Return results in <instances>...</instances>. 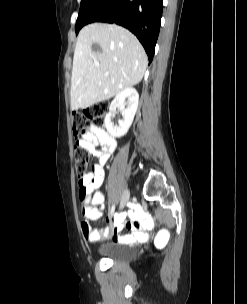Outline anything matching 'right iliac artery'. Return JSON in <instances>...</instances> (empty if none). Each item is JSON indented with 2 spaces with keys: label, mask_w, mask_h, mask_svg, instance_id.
Segmentation results:
<instances>
[{
  "label": "right iliac artery",
  "mask_w": 247,
  "mask_h": 304,
  "mask_svg": "<svg viewBox=\"0 0 247 304\" xmlns=\"http://www.w3.org/2000/svg\"><path fill=\"white\" fill-rule=\"evenodd\" d=\"M113 213H114V206H112L111 208V215H113Z\"/></svg>",
  "instance_id": "right-iliac-artery-1"
}]
</instances>
